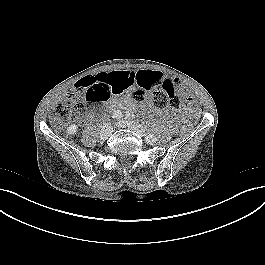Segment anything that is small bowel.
Masks as SVG:
<instances>
[{
    "label": "small bowel",
    "mask_w": 265,
    "mask_h": 265,
    "mask_svg": "<svg viewBox=\"0 0 265 265\" xmlns=\"http://www.w3.org/2000/svg\"><path fill=\"white\" fill-rule=\"evenodd\" d=\"M95 76L109 77V87L112 94H121L134 86L152 90L160 87L166 78H172V76L164 75L157 70L112 71L99 73Z\"/></svg>",
    "instance_id": "1"
}]
</instances>
